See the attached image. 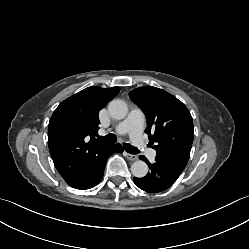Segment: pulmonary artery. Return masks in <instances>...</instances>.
I'll return each instance as SVG.
<instances>
[{
    "mask_svg": "<svg viewBox=\"0 0 249 249\" xmlns=\"http://www.w3.org/2000/svg\"><path fill=\"white\" fill-rule=\"evenodd\" d=\"M143 125H144L143 113L137 109H133L130 111L127 118L116 127V132L120 135L129 134L131 140L135 144L144 147L145 144L142 138ZM155 155H156L155 150L153 149L147 150V156L150 159H154Z\"/></svg>",
    "mask_w": 249,
    "mask_h": 249,
    "instance_id": "1",
    "label": "pulmonary artery"
}]
</instances>
